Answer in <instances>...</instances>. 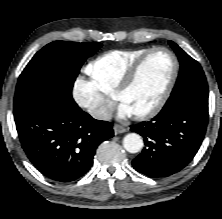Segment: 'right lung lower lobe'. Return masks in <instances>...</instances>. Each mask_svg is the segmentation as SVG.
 Listing matches in <instances>:
<instances>
[{
	"mask_svg": "<svg viewBox=\"0 0 222 219\" xmlns=\"http://www.w3.org/2000/svg\"><path fill=\"white\" fill-rule=\"evenodd\" d=\"M16 129L32 164L47 178L71 182L93 165L98 145L114 135L112 123L92 118L69 93H54L14 112Z\"/></svg>",
	"mask_w": 222,
	"mask_h": 219,
	"instance_id": "1",
	"label": "right lung lower lobe"
}]
</instances>
